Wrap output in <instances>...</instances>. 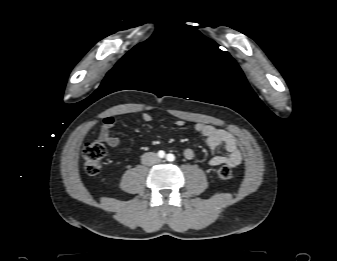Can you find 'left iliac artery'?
Here are the masks:
<instances>
[{"instance_id":"44dca946","label":"left iliac artery","mask_w":337,"mask_h":261,"mask_svg":"<svg viewBox=\"0 0 337 261\" xmlns=\"http://www.w3.org/2000/svg\"><path fill=\"white\" fill-rule=\"evenodd\" d=\"M166 159H167L168 161L172 162V161L175 160V156H174L173 154L170 153V154H167Z\"/></svg>"}]
</instances>
